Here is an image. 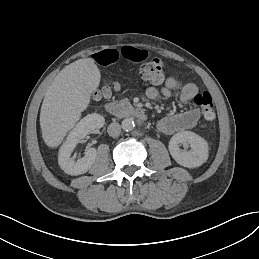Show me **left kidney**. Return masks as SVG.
I'll list each match as a JSON object with an SVG mask.
<instances>
[{
	"label": "left kidney",
	"instance_id": "obj_1",
	"mask_svg": "<svg viewBox=\"0 0 259 259\" xmlns=\"http://www.w3.org/2000/svg\"><path fill=\"white\" fill-rule=\"evenodd\" d=\"M180 144L190 145L192 152L187 153L180 149ZM168 149L177 164L189 169L200 167L209 158L207 141L192 131H181L174 134L169 141Z\"/></svg>",
	"mask_w": 259,
	"mask_h": 259
}]
</instances>
